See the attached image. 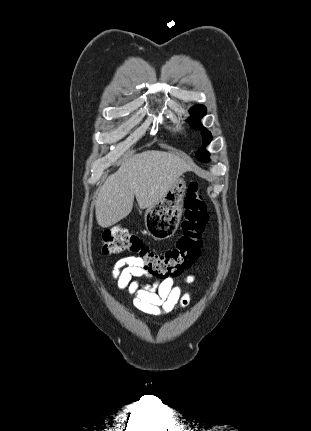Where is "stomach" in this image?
Masks as SVG:
<instances>
[{
  "instance_id": "obj_1",
  "label": "stomach",
  "mask_w": 311,
  "mask_h": 431,
  "mask_svg": "<svg viewBox=\"0 0 311 431\" xmlns=\"http://www.w3.org/2000/svg\"><path fill=\"white\" fill-rule=\"evenodd\" d=\"M186 192L184 178H178L162 200L144 214L145 227L154 239H167L178 229L183 214V202Z\"/></svg>"
}]
</instances>
